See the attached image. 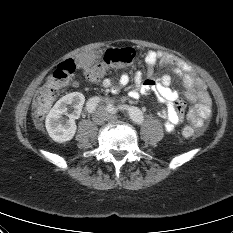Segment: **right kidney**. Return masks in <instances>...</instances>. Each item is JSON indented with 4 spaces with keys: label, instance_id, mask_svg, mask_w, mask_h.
<instances>
[{
    "label": "right kidney",
    "instance_id": "right-kidney-1",
    "mask_svg": "<svg viewBox=\"0 0 233 233\" xmlns=\"http://www.w3.org/2000/svg\"><path fill=\"white\" fill-rule=\"evenodd\" d=\"M85 97L73 92L59 99L46 117V129L49 136L58 143L70 141L76 133L75 119L80 117ZM63 115L68 116L65 119Z\"/></svg>",
    "mask_w": 233,
    "mask_h": 233
}]
</instances>
